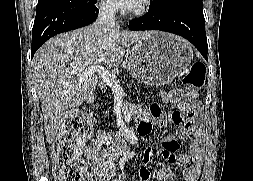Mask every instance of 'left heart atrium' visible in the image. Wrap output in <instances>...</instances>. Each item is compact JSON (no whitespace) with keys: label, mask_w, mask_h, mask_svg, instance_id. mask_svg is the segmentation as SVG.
<instances>
[{"label":"left heart atrium","mask_w":253,"mask_h":181,"mask_svg":"<svg viewBox=\"0 0 253 181\" xmlns=\"http://www.w3.org/2000/svg\"><path fill=\"white\" fill-rule=\"evenodd\" d=\"M116 6L123 10H133L138 7L141 0H113Z\"/></svg>","instance_id":"obj_1"}]
</instances>
